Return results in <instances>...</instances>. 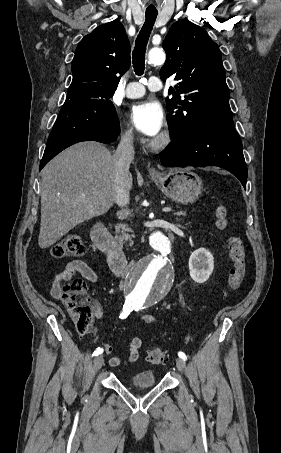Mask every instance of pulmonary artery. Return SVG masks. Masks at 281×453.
<instances>
[{
  "label": "pulmonary artery",
  "instance_id": "obj_1",
  "mask_svg": "<svg viewBox=\"0 0 281 453\" xmlns=\"http://www.w3.org/2000/svg\"><path fill=\"white\" fill-rule=\"evenodd\" d=\"M148 88L151 91L160 90L162 88L160 79L157 77H151L148 81ZM124 94L127 98H138L145 94V88L139 82H131L127 85Z\"/></svg>",
  "mask_w": 281,
  "mask_h": 453
}]
</instances>
